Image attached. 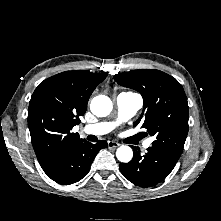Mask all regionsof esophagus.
I'll return each instance as SVG.
<instances>
[{
	"label": "esophagus",
	"mask_w": 221,
	"mask_h": 221,
	"mask_svg": "<svg viewBox=\"0 0 221 221\" xmlns=\"http://www.w3.org/2000/svg\"><path fill=\"white\" fill-rule=\"evenodd\" d=\"M120 144L115 142V141H108L107 146L109 149H115L119 146Z\"/></svg>",
	"instance_id": "1"
}]
</instances>
